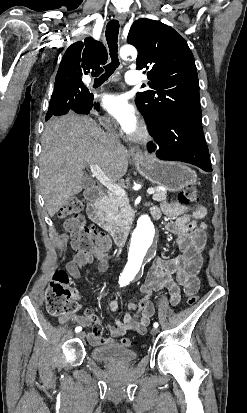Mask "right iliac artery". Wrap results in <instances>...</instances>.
<instances>
[{
	"instance_id": "obj_1",
	"label": "right iliac artery",
	"mask_w": 247,
	"mask_h": 413,
	"mask_svg": "<svg viewBox=\"0 0 247 413\" xmlns=\"http://www.w3.org/2000/svg\"><path fill=\"white\" fill-rule=\"evenodd\" d=\"M81 330H82V327H80V326L75 328V332H76V333H77V332H80Z\"/></svg>"
}]
</instances>
